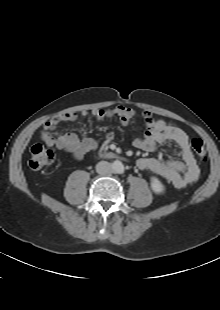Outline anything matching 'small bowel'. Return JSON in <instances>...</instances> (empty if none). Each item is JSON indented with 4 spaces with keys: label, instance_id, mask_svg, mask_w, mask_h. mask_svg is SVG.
Here are the masks:
<instances>
[{
    "label": "small bowel",
    "instance_id": "small-bowel-1",
    "mask_svg": "<svg viewBox=\"0 0 220 310\" xmlns=\"http://www.w3.org/2000/svg\"><path fill=\"white\" fill-rule=\"evenodd\" d=\"M92 115L98 120L117 118L121 124L126 125L136 116V111L120 105L111 109H96ZM141 115L146 130L143 137L135 141V145L144 151H152L157 143L169 141L179 147L181 159L161 161L156 158H141L137 162L138 167L160 175L179 189L194 184L199 178L200 170L188 134L176 124L154 118L150 111L144 110ZM86 116V111L66 112L54 116L43 125L39 133L40 139L48 146H55L71 154L75 160H81L96 151L99 142L85 133L79 137L71 132L59 134L56 129L63 121H75L79 117ZM113 138L114 134L109 132L105 136V141L110 142Z\"/></svg>",
    "mask_w": 220,
    "mask_h": 310
}]
</instances>
